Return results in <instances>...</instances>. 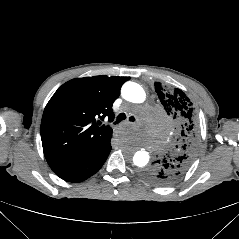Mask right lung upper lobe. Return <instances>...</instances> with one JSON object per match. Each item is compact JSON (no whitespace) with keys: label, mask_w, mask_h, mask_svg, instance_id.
<instances>
[{"label":"right lung upper lobe","mask_w":239,"mask_h":239,"mask_svg":"<svg viewBox=\"0 0 239 239\" xmlns=\"http://www.w3.org/2000/svg\"><path fill=\"white\" fill-rule=\"evenodd\" d=\"M130 77L105 75L76 78L63 84L49 100L41 121L45 158L56 172L79 161L111 133L100 126L106 116L114 118L113 102Z\"/></svg>","instance_id":"obj_1"}]
</instances>
